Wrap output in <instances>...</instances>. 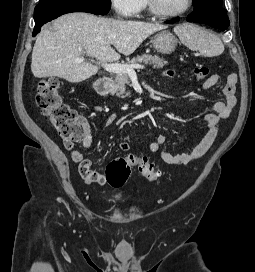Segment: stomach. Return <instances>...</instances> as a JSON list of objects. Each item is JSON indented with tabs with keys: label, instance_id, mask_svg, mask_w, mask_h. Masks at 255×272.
Returning <instances> with one entry per match:
<instances>
[{
	"label": "stomach",
	"instance_id": "stomach-1",
	"mask_svg": "<svg viewBox=\"0 0 255 272\" xmlns=\"http://www.w3.org/2000/svg\"><path fill=\"white\" fill-rule=\"evenodd\" d=\"M152 44L159 53L170 54L177 46V39L171 32L163 30L154 35Z\"/></svg>",
	"mask_w": 255,
	"mask_h": 272
}]
</instances>
